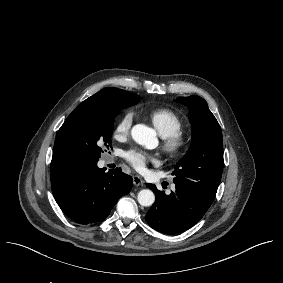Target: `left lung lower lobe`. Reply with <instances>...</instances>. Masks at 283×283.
<instances>
[{"label":"left lung lower lobe","mask_w":283,"mask_h":283,"mask_svg":"<svg viewBox=\"0 0 283 283\" xmlns=\"http://www.w3.org/2000/svg\"><path fill=\"white\" fill-rule=\"evenodd\" d=\"M156 195V201L146 213V222L164 234H177L195 225L212 202L204 200L194 191L176 185V190L166 195L155 185L147 184Z\"/></svg>","instance_id":"1"}]
</instances>
